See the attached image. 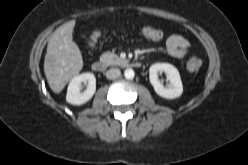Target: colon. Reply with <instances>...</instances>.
Returning a JSON list of instances; mask_svg holds the SVG:
<instances>
[{"instance_id": "1", "label": "colon", "mask_w": 248, "mask_h": 165, "mask_svg": "<svg viewBox=\"0 0 248 165\" xmlns=\"http://www.w3.org/2000/svg\"><path fill=\"white\" fill-rule=\"evenodd\" d=\"M144 33L153 40H160L163 37V32L155 28L148 27L147 29H145ZM98 36L99 33L96 32L94 34V40H96ZM201 65H202L201 59L197 57H192L187 62V69L189 71H197L200 69Z\"/></svg>"}]
</instances>
